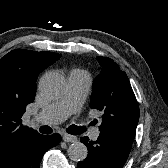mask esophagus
Masks as SVG:
<instances>
[{
	"instance_id": "34e87169",
	"label": "esophagus",
	"mask_w": 168,
	"mask_h": 168,
	"mask_svg": "<svg viewBox=\"0 0 168 168\" xmlns=\"http://www.w3.org/2000/svg\"><path fill=\"white\" fill-rule=\"evenodd\" d=\"M63 140L65 142H75V141H77V137L73 136V135H69V134H64L63 135Z\"/></svg>"
}]
</instances>
